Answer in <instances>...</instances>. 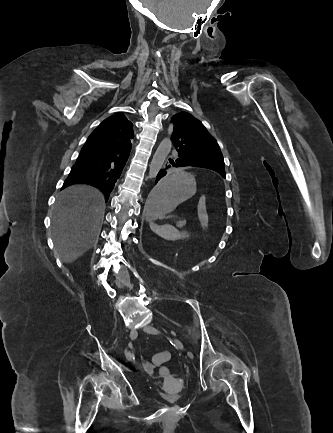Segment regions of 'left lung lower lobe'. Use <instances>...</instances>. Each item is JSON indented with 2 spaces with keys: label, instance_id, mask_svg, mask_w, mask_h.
I'll return each instance as SVG.
<instances>
[{
  "label": "left lung lower lobe",
  "instance_id": "obj_1",
  "mask_svg": "<svg viewBox=\"0 0 333 433\" xmlns=\"http://www.w3.org/2000/svg\"><path fill=\"white\" fill-rule=\"evenodd\" d=\"M168 163H169V165L166 166V169H169V168H170V169H175V168L186 167L184 164H182V163H181L178 159H176V158H174V159L169 158ZM166 174H167V171H166L165 169L160 170L159 173H158V175H157V177H156V183H157V182H158L162 177H164ZM153 206H154V200H151V201L147 204V206H146V208H145L146 213H148L149 211H151L152 208H153Z\"/></svg>",
  "mask_w": 333,
  "mask_h": 433
}]
</instances>
